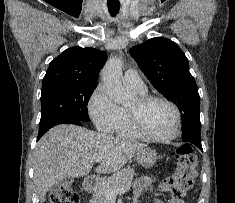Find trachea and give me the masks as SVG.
Here are the masks:
<instances>
[{"label":"trachea","mask_w":235,"mask_h":203,"mask_svg":"<svg viewBox=\"0 0 235 203\" xmlns=\"http://www.w3.org/2000/svg\"><path fill=\"white\" fill-rule=\"evenodd\" d=\"M109 13L116 16L120 10V4H108Z\"/></svg>","instance_id":"trachea-1"}]
</instances>
